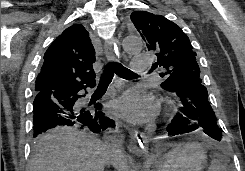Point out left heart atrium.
<instances>
[{"mask_svg":"<svg viewBox=\"0 0 245 171\" xmlns=\"http://www.w3.org/2000/svg\"><path fill=\"white\" fill-rule=\"evenodd\" d=\"M111 106L115 113L134 123L148 122L158 112V104L152 95L138 89L127 90Z\"/></svg>","mask_w":245,"mask_h":171,"instance_id":"1","label":"left heart atrium"}]
</instances>
